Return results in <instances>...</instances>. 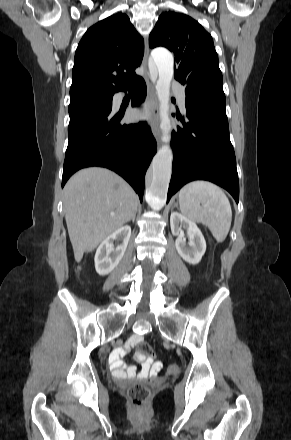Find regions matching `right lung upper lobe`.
<instances>
[{
	"label": "right lung upper lobe",
	"mask_w": 291,
	"mask_h": 440,
	"mask_svg": "<svg viewBox=\"0 0 291 440\" xmlns=\"http://www.w3.org/2000/svg\"><path fill=\"white\" fill-rule=\"evenodd\" d=\"M144 42L123 13L99 21L82 37L72 69L71 101L126 90L142 61Z\"/></svg>",
	"instance_id": "right-lung-upper-lobe-1"
}]
</instances>
